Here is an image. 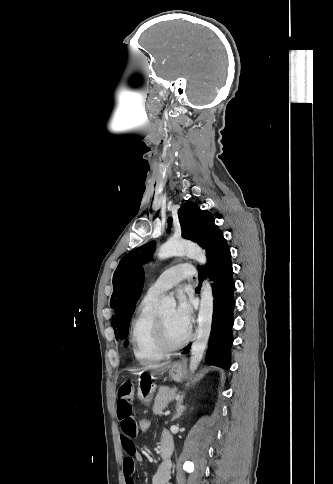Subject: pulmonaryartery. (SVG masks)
Returning a JSON list of instances; mask_svg holds the SVG:
<instances>
[{"instance_id": "1", "label": "pulmonary artery", "mask_w": 333, "mask_h": 484, "mask_svg": "<svg viewBox=\"0 0 333 484\" xmlns=\"http://www.w3.org/2000/svg\"><path fill=\"white\" fill-rule=\"evenodd\" d=\"M193 274L194 268L191 264L181 263L174 265L158 276L150 285L147 295L158 297L168 289L177 285L181 280L191 277Z\"/></svg>"}]
</instances>
